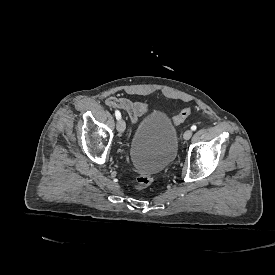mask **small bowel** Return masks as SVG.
<instances>
[{
	"instance_id": "1",
	"label": "small bowel",
	"mask_w": 275,
	"mask_h": 275,
	"mask_svg": "<svg viewBox=\"0 0 275 275\" xmlns=\"http://www.w3.org/2000/svg\"><path fill=\"white\" fill-rule=\"evenodd\" d=\"M105 104L111 108H117L126 111L133 125H137L139 119L147 115L149 112L148 105L145 102H134L127 97L109 96L106 98Z\"/></svg>"
}]
</instances>
